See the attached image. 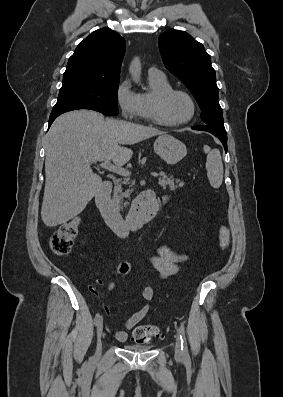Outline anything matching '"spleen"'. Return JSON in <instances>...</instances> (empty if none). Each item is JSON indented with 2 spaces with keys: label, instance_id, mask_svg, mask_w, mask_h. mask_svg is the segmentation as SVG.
Listing matches in <instances>:
<instances>
[{
  "label": "spleen",
  "instance_id": "spleen-1",
  "mask_svg": "<svg viewBox=\"0 0 283 397\" xmlns=\"http://www.w3.org/2000/svg\"><path fill=\"white\" fill-rule=\"evenodd\" d=\"M203 150L207 154L206 170L209 182L213 188H219L223 181V164L220 151L211 149L208 145H204Z\"/></svg>",
  "mask_w": 283,
  "mask_h": 397
}]
</instances>
